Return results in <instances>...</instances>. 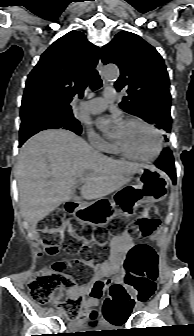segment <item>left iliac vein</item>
<instances>
[{
    "label": "left iliac vein",
    "mask_w": 194,
    "mask_h": 336,
    "mask_svg": "<svg viewBox=\"0 0 194 336\" xmlns=\"http://www.w3.org/2000/svg\"><path fill=\"white\" fill-rule=\"evenodd\" d=\"M136 309H137V310H139V309H140V307H139V306H137V307H136Z\"/></svg>",
    "instance_id": "left-iliac-vein-1"
}]
</instances>
